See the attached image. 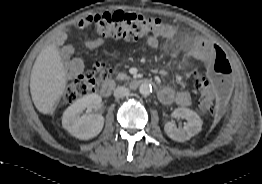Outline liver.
I'll return each mask as SVG.
<instances>
[{"mask_svg": "<svg viewBox=\"0 0 262 184\" xmlns=\"http://www.w3.org/2000/svg\"><path fill=\"white\" fill-rule=\"evenodd\" d=\"M67 78L62 58L55 44L41 50L30 76V92L37 110L51 114L61 99Z\"/></svg>", "mask_w": 262, "mask_h": 184, "instance_id": "1", "label": "liver"}]
</instances>
